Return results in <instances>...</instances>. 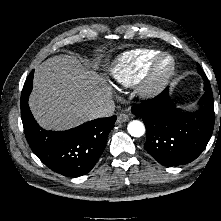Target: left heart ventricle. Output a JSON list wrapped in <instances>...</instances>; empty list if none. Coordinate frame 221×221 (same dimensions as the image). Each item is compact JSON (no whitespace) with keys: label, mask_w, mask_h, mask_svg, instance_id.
<instances>
[{"label":"left heart ventricle","mask_w":221,"mask_h":221,"mask_svg":"<svg viewBox=\"0 0 221 221\" xmlns=\"http://www.w3.org/2000/svg\"><path fill=\"white\" fill-rule=\"evenodd\" d=\"M166 65H167V62H165V63H164L163 67L165 68V67H166Z\"/></svg>","instance_id":"b2bd125f"}]
</instances>
